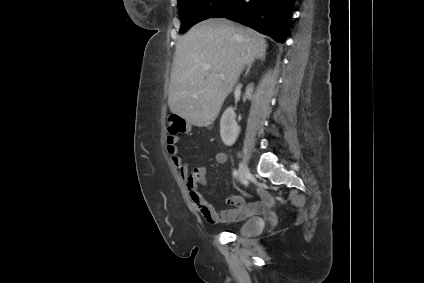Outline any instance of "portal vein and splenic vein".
Segmentation results:
<instances>
[{"instance_id": "18ae733b", "label": "portal vein and splenic vein", "mask_w": 424, "mask_h": 283, "mask_svg": "<svg viewBox=\"0 0 424 283\" xmlns=\"http://www.w3.org/2000/svg\"><path fill=\"white\" fill-rule=\"evenodd\" d=\"M203 68L205 70H209V69H211V66L209 64H206V65H203ZM221 78L223 79L224 78V75H221Z\"/></svg>"}]
</instances>
